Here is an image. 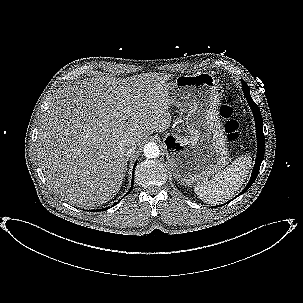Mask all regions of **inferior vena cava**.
I'll use <instances>...</instances> for the list:
<instances>
[{
    "instance_id": "inferior-vena-cava-1",
    "label": "inferior vena cava",
    "mask_w": 303,
    "mask_h": 303,
    "mask_svg": "<svg viewBox=\"0 0 303 303\" xmlns=\"http://www.w3.org/2000/svg\"><path fill=\"white\" fill-rule=\"evenodd\" d=\"M120 146L126 156H131L136 150V142L132 138H125Z\"/></svg>"
}]
</instances>
